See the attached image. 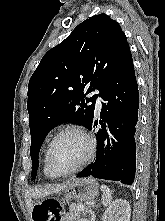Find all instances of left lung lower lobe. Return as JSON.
<instances>
[{"mask_svg": "<svg viewBox=\"0 0 165 221\" xmlns=\"http://www.w3.org/2000/svg\"><path fill=\"white\" fill-rule=\"evenodd\" d=\"M101 128L96 134L95 163L77 174V177L94 176L131 185L136 169L135 133L138 121L139 94L130 55L119 71L102 90ZM98 125L90 122L89 129ZM114 136L118 143H115ZM110 140L113 147H110Z\"/></svg>", "mask_w": 165, "mask_h": 221, "instance_id": "0a47b994", "label": "left lung lower lobe"}]
</instances>
